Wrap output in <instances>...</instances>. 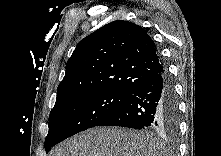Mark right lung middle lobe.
Segmentation results:
<instances>
[{"label":"right lung middle lobe","mask_w":221,"mask_h":156,"mask_svg":"<svg viewBox=\"0 0 221 156\" xmlns=\"http://www.w3.org/2000/svg\"><path fill=\"white\" fill-rule=\"evenodd\" d=\"M129 97V94L105 91L56 104L49 116V132L44 143L46 153L62 140L97 126Z\"/></svg>","instance_id":"obj_1"}]
</instances>
